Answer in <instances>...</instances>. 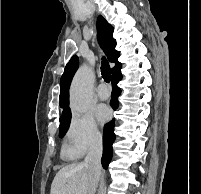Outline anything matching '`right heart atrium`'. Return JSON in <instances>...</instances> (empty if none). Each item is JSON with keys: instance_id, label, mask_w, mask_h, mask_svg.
Returning <instances> with one entry per match:
<instances>
[{"instance_id": "right-heart-atrium-1", "label": "right heart atrium", "mask_w": 201, "mask_h": 194, "mask_svg": "<svg viewBox=\"0 0 201 194\" xmlns=\"http://www.w3.org/2000/svg\"><path fill=\"white\" fill-rule=\"evenodd\" d=\"M101 132L90 114L74 113L65 134L64 153L80 157L101 143Z\"/></svg>"}]
</instances>
